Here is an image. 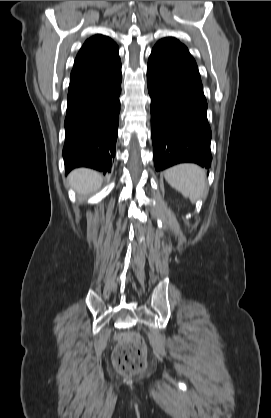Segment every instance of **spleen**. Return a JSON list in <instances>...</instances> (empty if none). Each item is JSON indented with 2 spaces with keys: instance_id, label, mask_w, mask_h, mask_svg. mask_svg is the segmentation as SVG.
I'll return each mask as SVG.
<instances>
[{
  "instance_id": "1",
  "label": "spleen",
  "mask_w": 271,
  "mask_h": 418,
  "mask_svg": "<svg viewBox=\"0 0 271 418\" xmlns=\"http://www.w3.org/2000/svg\"><path fill=\"white\" fill-rule=\"evenodd\" d=\"M166 181L192 202L200 199L206 189L204 170L192 163H183L168 168L164 172Z\"/></svg>"
}]
</instances>
